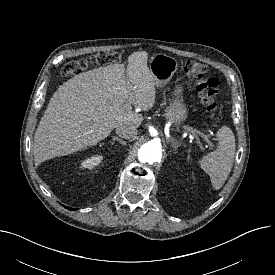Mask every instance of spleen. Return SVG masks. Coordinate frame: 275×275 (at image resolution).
Masks as SVG:
<instances>
[{
  "instance_id": "1",
  "label": "spleen",
  "mask_w": 275,
  "mask_h": 275,
  "mask_svg": "<svg viewBox=\"0 0 275 275\" xmlns=\"http://www.w3.org/2000/svg\"><path fill=\"white\" fill-rule=\"evenodd\" d=\"M218 147L203 157L200 167L210 176L212 186L219 189L223 186L232 169L235 156V136L232 130L221 127L217 132Z\"/></svg>"
}]
</instances>
